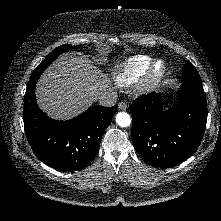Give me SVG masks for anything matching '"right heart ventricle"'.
<instances>
[{"mask_svg": "<svg viewBox=\"0 0 221 221\" xmlns=\"http://www.w3.org/2000/svg\"><path fill=\"white\" fill-rule=\"evenodd\" d=\"M152 58L146 55H135L120 63L115 72V82L121 87H129L137 83L145 74Z\"/></svg>", "mask_w": 221, "mask_h": 221, "instance_id": "right-heart-ventricle-1", "label": "right heart ventricle"}]
</instances>
